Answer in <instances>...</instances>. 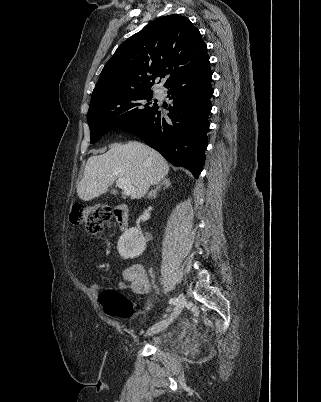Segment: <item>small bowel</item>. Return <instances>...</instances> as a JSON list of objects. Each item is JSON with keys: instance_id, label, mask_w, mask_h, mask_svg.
<instances>
[{"instance_id": "obj_1", "label": "small bowel", "mask_w": 321, "mask_h": 402, "mask_svg": "<svg viewBox=\"0 0 321 402\" xmlns=\"http://www.w3.org/2000/svg\"><path fill=\"white\" fill-rule=\"evenodd\" d=\"M118 287L120 289L130 288L134 293L144 295L149 293L151 283L145 268L140 264H133L125 270L122 280L118 283ZM90 289L93 292H97L99 286L92 284Z\"/></svg>"}]
</instances>
